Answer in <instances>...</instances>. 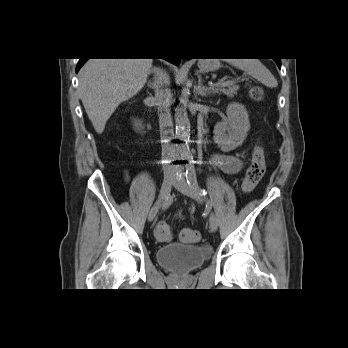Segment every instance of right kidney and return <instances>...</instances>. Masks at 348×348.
Wrapping results in <instances>:
<instances>
[{
	"mask_svg": "<svg viewBox=\"0 0 348 348\" xmlns=\"http://www.w3.org/2000/svg\"><path fill=\"white\" fill-rule=\"evenodd\" d=\"M134 128L137 131H141L143 129L142 123L139 120H134Z\"/></svg>",
	"mask_w": 348,
	"mask_h": 348,
	"instance_id": "obj_1",
	"label": "right kidney"
}]
</instances>
